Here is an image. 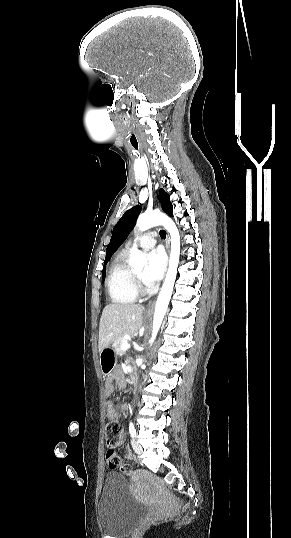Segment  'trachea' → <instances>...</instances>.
Masks as SVG:
<instances>
[{
  "label": "trachea",
  "instance_id": "trachea-1",
  "mask_svg": "<svg viewBox=\"0 0 291 538\" xmlns=\"http://www.w3.org/2000/svg\"><path fill=\"white\" fill-rule=\"evenodd\" d=\"M160 236H161V238L165 239V237H166V231H164V230H160Z\"/></svg>",
  "mask_w": 291,
  "mask_h": 538
}]
</instances>
